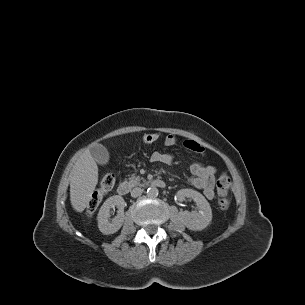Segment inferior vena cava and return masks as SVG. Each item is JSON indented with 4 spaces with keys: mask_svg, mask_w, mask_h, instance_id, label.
Listing matches in <instances>:
<instances>
[{
    "mask_svg": "<svg viewBox=\"0 0 305 305\" xmlns=\"http://www.w3.org/2000/svg\"><path fill=\"white\" fill-rule=\"evenodd\" d=\"M143 193V189L136 187L131 191V196L132 197H138Z\"/></svg>",
    "mask_w": 305,
    "mask_h": 305,
    "instance_id": "inferior-vena-cava-1",
    "label": "inferior vena cava"
}]
</instances>
